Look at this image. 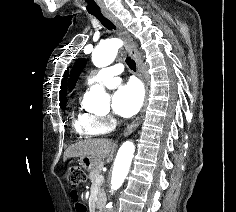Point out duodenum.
<instances>
[{"label": "duodenum", "instance_id": "duodenum-1", "mask_svg": "<svg viewBox=\"0 0 236 212\" xmlns=\"http://www.w3.org/2000/svg\"><path fill=\"white\" fill-rule=\"evenodd\" d=\"M98 212H106V210H105V208H102Z\"/></svg>", "mask_w": 236, "mask_h": 212}]
</instances>
